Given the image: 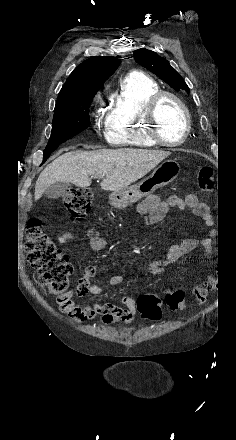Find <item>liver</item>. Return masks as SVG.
<instances>
[{
    "label": "liver",
    "instance_id": "obj_1",
    "mask_svg": "<svg viewBox=\"0 0 236 440\" xmlns=\"http://www.w3.org/2000/svg\"><path fill=\"white\" fill-rule=\"evenodd\" d=\"M169 155L168 151L132 148L67 152L41 172L36 181L34 198L39 200L56 182L88 187L91 177L100 176L103 178L101 189L119 191L144 177Z\"/></svg>",
    "mask_w": 236,
    "mask_h": 440
}]
</instances>
